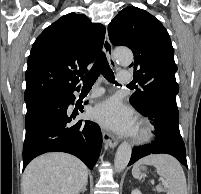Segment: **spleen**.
Here are the masks:
<instances>
[{
    "instance_id": "spleen-1",
    "label": "spleen",
    "mask_w": 201,
    "mask_h": 194,
    "mask_svg": "<svg viewBox=\"0 0 201 194\" xmlns=\"http://www.w3.org/2000/svg\"><path fill=\"white\" fill-rule=\"evenodd\" d=\"M141 165H153L158 175L165 179L167 194H187V184L184 171L180 163L167 154L149 155L140 159L132 169V175L140 178L139 167Z\"/></svg>"
}]
</instances>
